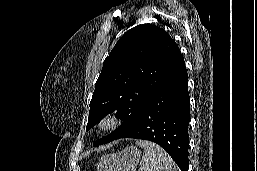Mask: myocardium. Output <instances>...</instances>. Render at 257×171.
Here are the masks:
<instances>
[{"mask_svg":"<svg viewBox=\"0 0 257 171\" xmlns=\"http://www.w3.org/2000/svg\"><path fill=\"white\" fill-rule=\"evenodd\" d=\"M122 124L121 117L116 113L105 114L97 123V130L101 133H109L116 130Z\"/></svg>","mask_w":257,"mask_h":171,"instance_id":"1","label":"myocardium"}]
</instances>
